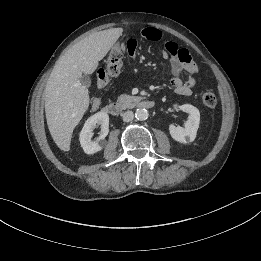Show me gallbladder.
Instances as JSON below:
<instances>
[{"label":"gallbladder","instance_id":"bac80fb5","mask_svg":"<svg viewBox=\"0 0 261 261\" xmlns=\"http://www.w3.org/2000/svg\"><path fill=\"white\" fill-rule=\"evenodd\" d=\"M80 82L82 85H84L86 87L90 86V84H91V80H90L89 76H87V75H83L80 78Z\"/></svg>","mask_w":261,"mask_h":261}]
</instances>
